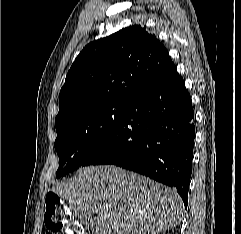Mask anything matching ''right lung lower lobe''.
<instances>
[{"label":"right lung lower lobe","mask_w":241,"mask_h":234,"mask_svg":"<svg viewBox=\"0 0 241 234\" xmlns=\"http://www.w3.org/2000/svg\"><path fill=\"white\" fill-rule=\"evenodd\" d=\"M194 112L173 66L133 100L104 144L82 166L114 164L174 187L188 204L195 137Z\"/></svg>","instance_id":"right-lung-lower-lobe-1"}]
</instances>
